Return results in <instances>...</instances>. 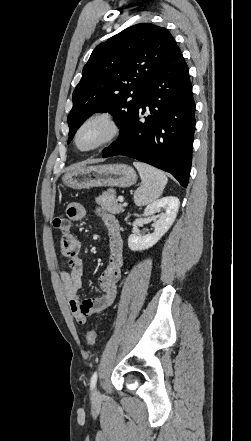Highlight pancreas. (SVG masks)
<instances>
[{"instance_id": "cf45deb5", "label": "pancreas", "mask_w": 251, "mask_h": 441, "mask_svg": "<svg viewBox=\"0 0 251 441\" xmlns=\"http://www.w3.org/2000/svg\"><path fill=\"white\" fill-rule=\"evenodd\" d=\"M96 203L100 205L103 210L112 214H120L124 211L123 205L116 199L113 189L103 192L101 196L96 198Z\"/></svg>"}]
</instances>
